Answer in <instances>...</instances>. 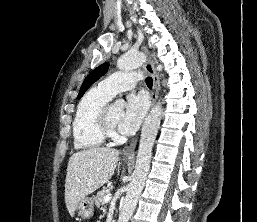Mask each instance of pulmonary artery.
<instances>
[{
  "instance_id": "e3ab8cb5",
  "label": "pulmonary artery",
  "mask_w": 257,
  "mask_h": 222,
  "mask_svg": "<svg viewBox=\"0 0 257 222\" xmlns=\"http://www.w3.org/2000/svg\"><path fill=\"white\" fill-rule=\"evenodd\" d=\"M141 78L137 73L117 72L101 80L98 87L114 97L121 91L133 88Z\"/></svg>"
}]
</instances>
